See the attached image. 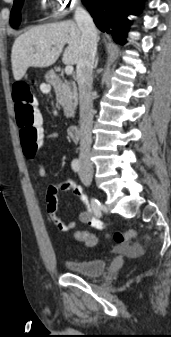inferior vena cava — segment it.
I'll list each match as a JSON object with an SVG mask.
<instances>
[{"label": "inferior vena cava", "mask_w": 171, "mask_h": 337, "mask_svg": "<svg viewBox=\"0 0 171 337\" xmlns=\"http://www.w3.org/2000/svg\"><path fill=\"white\" fill-rule=\"evenodd\" d=\"M74 19L81 31L80 58L77 63V83L80 105V153L81 162L90 163L93 124V65L97 51V30L90 14L80 5Z\"/></svg>", "instance_id": "obj_1"}]
</instances>
